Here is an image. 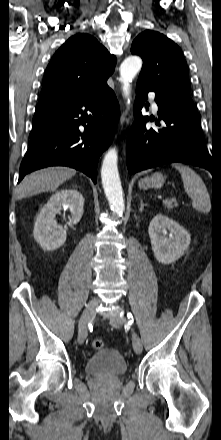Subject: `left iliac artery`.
Instances as JSON below:
<instances>
[{
    "instance_id": "44dca946",
    "label": "left iliac artery",
    "mask_w": 221,
    "mask_h": 440,
    "mask_svg": "<svg viewBox=\"0 0 221 440\" xmlns=\"http://www.w3.org/2000/svg\"><path fill=\"white\" fill-rule=\"evenodd\" d=\"M127 317L130 319V324L133 322V316L131 313H127Z\"/></svg>"
}]
</instances>
